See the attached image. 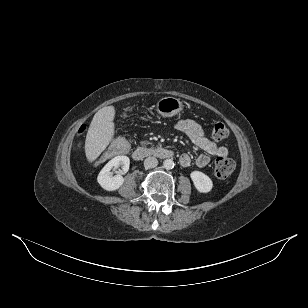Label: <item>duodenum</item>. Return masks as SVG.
Here are the masks:
<instances>
[{
	"label": "duodenum",
	"instance_id": "1",
	"mask_svg": "<svg viewBox=\"0 0 308 308\" xmlns=\"http://www.w3.org/2000/svg\"><path fill=\"white\" fill-rule=\"evenodd\" d=\"M152 156L158 157L160 159H170L174 156V152L170 149L162 147H157V148L139 147L132 152V158L137 161Z\"/></svg>",
	"mask_w": 308,
	"mask_h": 308
}]
</instances>
